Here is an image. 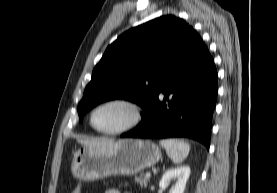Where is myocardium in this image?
<instances>
[{
  "label": "myocardium",
  "instance_id": "myocardium-1",
  "mask_svg": "<svg viewBox=\"0 0 277 193\" xmlns=\"http://www.w3.org/2000/svg\"><path fill=\"white\" fill-rule=\"evenodd\" d=\"M110 104H120L128 107L132 112V118L126 125L122 126L121 128L115 130H101L97 128L93 122L94 114L99 108ZM142 117V108L136 101L127 97H112L97 103L92 108L89 114V123L93 130H95L96 132L104 135L114 136L121 135L135 129L141 123Z\"/></svg>",
  "mask_w": 277,
  "mask_h": 193
}]
</instances>
